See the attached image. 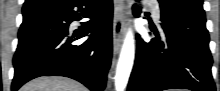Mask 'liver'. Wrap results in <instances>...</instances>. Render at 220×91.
<instances>
[{
    "label": "liver",
    "mask_w": 220,
    "mask_h": 91,
    "mask_svg": "<svg viewBox=\"0 0 220 91\" xmlns=\"http://www.w3.org/2000/svg\"><path fill=\"white\" fill-rule=\"evenodd\" d=\"M20 91H88L82 84L65 77H39L25 84Z\"/></svg>",
    "instance_id": "obj_1"
}]
</instances>
